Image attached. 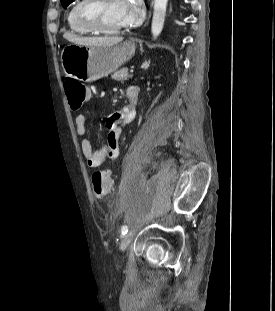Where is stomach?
I'll return each mask as SVG.
<instances>
[{"label":"stomach","instance_id":"0dacf381","mask_svg":"<svg viewBox=\"0 0 275 311\" xmlns=\"http://www.w3.org/2000/svg\"><path fill=\"white\" fill-rule=\"evenodd\" d=\"M135 48L132 41L110 47L71 43L61 52L62 67L67 76L93 82L108 76L131 59Z\"/></svg>","mask_w":275,"mask_h":311}]
</instances>
